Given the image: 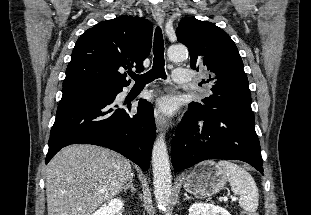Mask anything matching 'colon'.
Segmentation results:
<instances>
[{
    "label": "colon",
    "instance_id": "5ec220e1",
    "mask_svg": "<svg viewBox=\"0 0 311 215\" xmlns=\"http://www.w3.org/2000/svg\"><path fill=\"white\" fill-rule=\"evenodd\" d=\"M242 215H259L256 212H244Z\"/></svg>",
    "mask_w": 311,
    "mask_h": 215
}]
</instances>
